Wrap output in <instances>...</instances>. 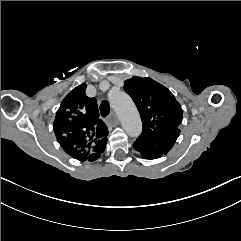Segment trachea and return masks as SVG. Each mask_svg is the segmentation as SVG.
<instances>
[{"label":"trachea","instance_id":"obj_1","mask_svg":"<svg viewBox=\"0 0 241 241\" xmlns=\"http://www.w3.org/2000/svg\"><path fill=\"white\" fill-rule=\"evenodd\" d=\"M100 113L103 117L107 116L110 113V105L108 101L104 100L101 102Z\"/></svg>","mask_w":241,"mask_h":241}]
</instances>
